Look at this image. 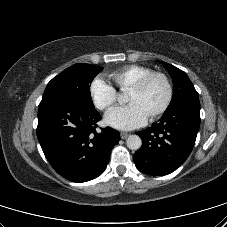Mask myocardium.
Returning <instances> with one entry per match:
<instances>
[{"label":"myocardium","mask_w":227,"mask_h":227,"mask_svg":"<svg viewBox=\"0 0 227 227\" xmlns=\"http://www.w3.org/2000/svg\"><path fill=\"white\" fill-rule=\"evenodd\" d=\"M154 78H160L165 83V86H166V98H165V101L162 104V106L149 115V118L151 120H154V119L160 117L161 115H163L168 110V108L170 107V105L172 103L173 96H174V88H173V84H172V81H171L170 77L164 72L153 71V72L145 75L141 79H139L129 89V91H141Z\"/></svg>","instance_id":"myocardium-1"}]
</instances>
